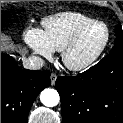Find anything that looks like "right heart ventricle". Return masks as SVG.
Listing matches in <instances>:
<instances>
[{"instance_id": "right-heart-ventricle-1", "label": "right heart ventricle", "mask_w": 123, "mask_h": 123, "mask_svg": "<svg viewBox=\"0 0 123 123\" xmlns=\"http://www.w3.org/2000/svg\"><path fill=\"white\" fill-rule=\"evenodd\" d=\"M94 19L77 12H61L42 20V32L54 51H62L73 35Z\"/></svg>"}]
</instances>
